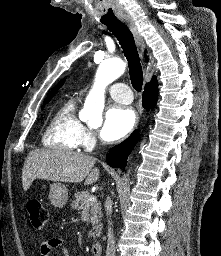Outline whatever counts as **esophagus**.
<instances>
[{"label": "esophagus", "mask_w": 221, "mask_h": 256, "mask_svg": "<svg viewBox=\"0 0 221 256\" xmlns=\"http://www.w3.org/2000/svg\"><path fill=\"white\" fill-rule=\"evenodd\" d=\"M121 20L130 29L131 33L133 34L136 44L143 51L145 48L144 40H143L142 36L140 35L138 28H137L135 22L133 21V19L130 16H123L121 18Z\"/></svg>", "instance_id": "1"}]
</instances>
